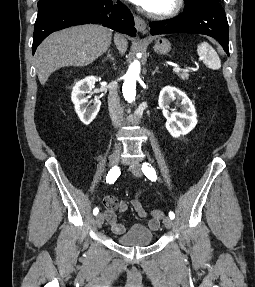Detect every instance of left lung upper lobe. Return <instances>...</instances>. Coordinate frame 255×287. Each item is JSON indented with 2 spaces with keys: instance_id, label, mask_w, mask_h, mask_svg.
Segmentation results:
<instances>
[{
  "instance_id": "obj_1",
  "label": "left lung upper lobe",
  "mask_w": 255,
  "mask_h": 287,
  "mask_svg": "<svg viewBox=\"0 0 255 287\" xmlns=\"http://www.w3.org/2000/svg\"><path fill=\"white\" fill-rule=\"evenodd\" d=\"M185 1V3H188V2H190V1H192V0H184ZM217 1H220V0H217Z\"/></svg>"
}]
</instances>
